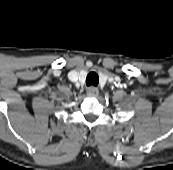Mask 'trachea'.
Masks as SVG:
<instances>
[{"mask_svg":"<svg viewBox=\"0 0 173 170\" xmlns=\"http://www.w3.org/2000/svg\"><path fill=\"white\" fill-rule=\"evenodd\" d=\"M99 83V77L95 72H90L86 77L87 86H97Z\"/></svg>","mask_w":173,"mask_h":170,"instance_id":"obj_1","label":"trachea"}]
</instances>
